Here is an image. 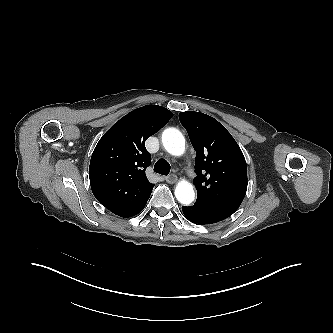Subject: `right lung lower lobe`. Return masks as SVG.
<instances>
[{"label":"right lung lower lobe","instance_id":"obj_1","mask_svg":"<svg viewBox=\"0 0 333 333\" xmlns=\"http://www.w3.org/2000/svg\"><path fill=\"white\" fill-rule=\"evenodd\" d=\"M146 202H147V201H146ZM146 202L143 203V204H142L137 210H135V211L131 214V216L137 215L139 212H141V210L145 207ZM131 216H130V217H131Z\"/></svg>","mask_w":333,"mask_h":333}]
</instances>
